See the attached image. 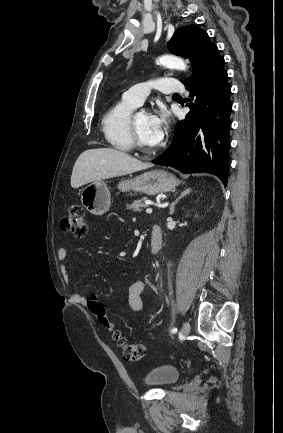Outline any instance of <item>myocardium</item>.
<instances>
[{
    "instance_id": "obj_1",
    "label": "myocardium",
    "mask_w": 283,
    "mask_h": 433,
    "mask_svg": "<svg viewBox=\"0 0 283 433\" xmlns=\"http://www.w3.org/2000/svg\"><path fill=\"white\" fill-rule=\"evenodd\" d=\"M131 132L133 138V146L135 147V149L139 152H146V150L143 148V143L139 137L135 119L131 122Z\"/></svg>"
}]
</instances>
